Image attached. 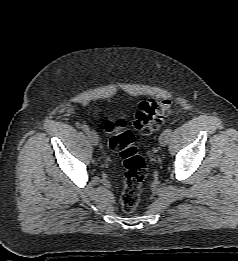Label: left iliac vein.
<instances>
[{
  "mask_svg": "<svg viewBox=\"0 0 238 261\" xmlns=\"http://www.w3.org/2000/svg\"><path fill=\"white\" fill-rule=\"evenodd\" d=\"M169 141V134L167 132H162L159 137V143L161 146H166Z\"/></svg>",
  "mask_w": 238,
  "mask_h": 261,
  "instance_id": "1",
  "label": "left iliac vein"
}]
</instances>
